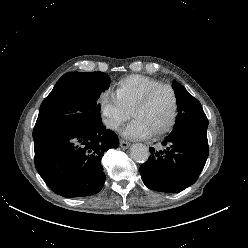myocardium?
Segmentation results:
<instances>
[{
	"mask_svg": "<svg viewBox=\"0 0 248 248\" xmlns=\"http://www.w3.org/2000/svg\"><path fill=\"white\" fill-rule=\"evenodd\" d=\"M160 89H168L173 97V110H172V114L171 117L168 121V123L162 127L161 129L155 131L154 133H152L151 135L153 137H157V136H161L163 134L168 133L170 130H172V128L174 127L177 117H178V112H179V99H178V95L177 92L175 91V89L169 85V84H159L157 86L152 87L151 89H149L131 108L130 110V116L132 117L133 113L138 110L143 108L144 106H146L148 104V102L150 101V99L152 98V96L159 91Z\"/></svg>",
	"mask_w": 248,
	"mask_h": 248,
	"instance_id": "1",
	"label": "myocardium"
}]
</instances>
